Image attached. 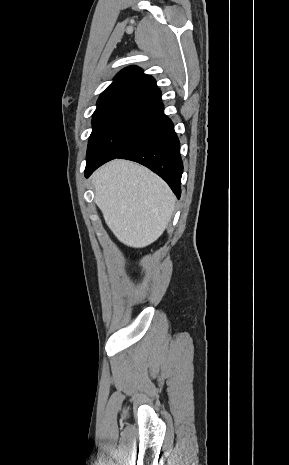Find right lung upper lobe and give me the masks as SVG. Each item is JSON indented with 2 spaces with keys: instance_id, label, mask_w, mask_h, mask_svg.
I'll list each match as a JSON object with an SVG mask.
<instances>
[{
  "instance_id": "1",
  "label": "right lung upper lobe",
  "mask_w": 289,
  "mask_h": 465,
  "mask_svg": "<svg viewBox=\"0 0 289 465\" xmlns=\"http://www.w3.org/2000/svg\"><path fill=\"white\" fill-rule=\"evenodd\" d=\"M161 91L155 79L143 73L142 69L130 66L120 71L100 95L97 101V113L119 104L145 103L161 105Z\"/></svg>"
}]
</instances>
